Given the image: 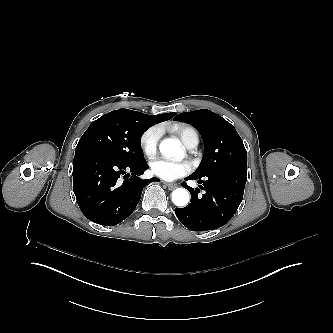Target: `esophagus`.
Listing matches in <instances>:
<instances>
[{
	"mask_svg": "<svg viewBox=\"0 0 333 333\" xmlns=\"http://www.w3.org/2000/svg\"><path fill=\"white\" fill-rule=\"evenodd\" d=\"M169 190H174L177 187L175 183H166Z\"/></svg>",
	"mask_w": 333,
	"mask_h": 333,
	"instance_id": "esophagus-1",
	"label": "esophagus"
}]
</instances>
